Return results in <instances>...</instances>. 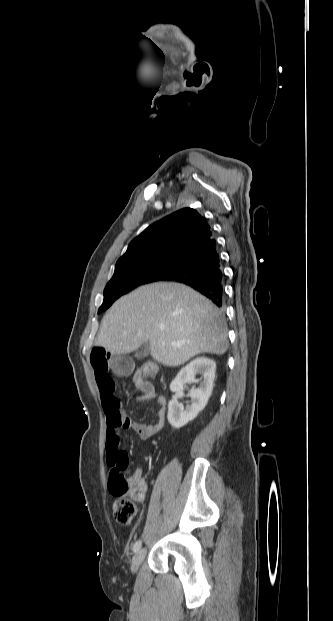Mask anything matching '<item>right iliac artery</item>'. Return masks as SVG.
I'll use <instances>...</instances> for the list:
<instances>
[{
	"instance_id": "obj_1",
	"label": "right iliac artery",
	"mask_w": 333,
	"mask_h": 621,
	"mask_svg": "<svg viewBox=\"0 0 333 621\" xmlns=\"http://www.w3.org/2000/svg\"><path fill=\"white\" fill-rule=\"evenodd\" d=\"M140 547H141V541H140V540H138V541H136V542H135V544H134V546H133V552H134V553L138 552V551H139V549H140Z\"/></svg>"
}]
</instances>
